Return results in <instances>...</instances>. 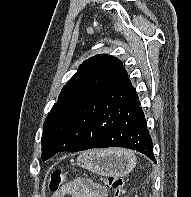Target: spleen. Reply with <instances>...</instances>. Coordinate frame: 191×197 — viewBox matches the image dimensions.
<instances>
[{
	"label": "spleen",
	"mask_w": 191,
	"mask_h": 197,
	"mask_svg": "<svg viewBox=\"0 0 191 197\" xmlns=\"http://www.w3.org/2000/svg\"><path fill=\"white\" fill-rule=\"evenodd\" d=\"M120 152L123 153L125 156L131 158L134 162L136 161V157L133 154V152L128 151V150H123V149H120Z\"/></svg>",
	"instance_id": "3e777b00"
}]
</instances>
